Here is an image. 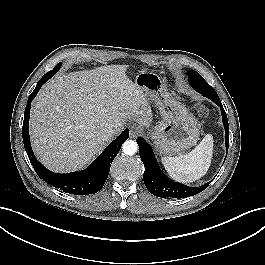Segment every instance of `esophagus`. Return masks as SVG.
<instances>
[{"label": "esophagus", "mask_w": 265, "mask_h": 265, "mask_svg": "<svg viewBox=\"0 0 265 265\" xmlns=\"http://www.w3.org/2000/svg\"><path fill=\"white\" fill-rule=\"evenodd\" d=\"M140 133V130L137 126L133 125L131 126L130 128V137L131 138H134V137H137Z\"/></svg>", "instance_id": "esophagus-1"}]
</instances>
